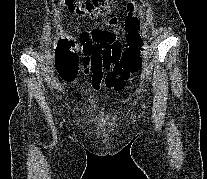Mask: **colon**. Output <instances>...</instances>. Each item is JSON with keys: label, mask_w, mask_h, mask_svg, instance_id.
I'll use <instances>...</instances> for the list:
<instances>
[{"label": "colon", "mask_w": 207, "mask_h": 179, "mask_svg": "<svg viewBox=\"0 0 207 179\" xmlns=\"http://www.w3.org/2000/svg\"><path fill=\"white\" fill-rule=\"evenodd\" d=\"M113 2L114 0H64L70 12L90 18L108 14ZM125 23L128 31L125 50H122L115 34L107 30L100 29L81 40L85 52V72L92 74L96 79L105 75L107 83L115 89H121L125 81L142 66L140 50L143 38L139 32L141 23L132 13L128 14ZM56 66L59 75L65 80H71L77 74L78 58L73 41L69 37H63L58 42Z\"/></svg>", "instance_id": "obj_1"}]
</instances>
